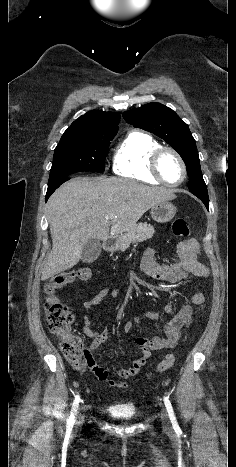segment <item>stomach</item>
Masks as SVG:
<instances>
[{
	"instance_id": "stomach-1",
	"label": "stomach",
	"mask_w": 236,
	"mask_h": 467,
	"mask_svg": "<svg viewBox=\"0 0 236 467\" xmlns=\"http://www.w3.org/2000/svg\"><path fill=\"white\" fill-rule=\"evenodd\" d=\"M150 213L154 221L166 223L174 218L176 207L168 201H163L152 206Z\"/></svg>"
}]
</instances>
